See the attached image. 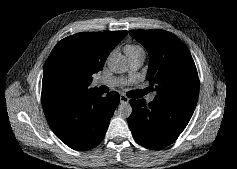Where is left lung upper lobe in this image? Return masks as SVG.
<instances>
[{
	"label": "left lung upper lobe",
	"instance_id": "1",
	"mask_svg": "<svg viewBox=\"0 0 237 169\" xmlns=\"http://www.w3.org/2000/svg\"><path fill=\"white\" fill-rule=\"evenodd\" d=\"M130 35L148 51L147 80L155 84L154 99L196 106L199 79L193 58L185 44L163 30H132Z\"/></svg>",
	"mask_w": 237,
	"mask_h": 169
}]
</instances>
